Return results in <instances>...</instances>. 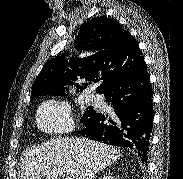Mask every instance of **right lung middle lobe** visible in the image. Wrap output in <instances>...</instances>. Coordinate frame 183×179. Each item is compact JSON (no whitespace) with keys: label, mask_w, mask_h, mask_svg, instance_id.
Instances as JSON below:
<instances>
[{"label":"right lung middle lobe","mask_w":183,"mask_h":179,"mask_svg":"<svg viewBox=\"0 0 183 179\" xmlns=\"http://www.w3.org/2000/svg\"><path fill=\"white\" fill-rule=\"evenodd\" d=\"M89 110H87L84 113L83 118L81 119V122L85 121L86 119H88L91 115H93L95 113V110H93V107H88Z\"/></svg>","instance_id":"dd1d6c3e"}]
</instances>
